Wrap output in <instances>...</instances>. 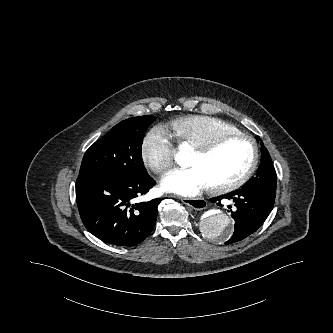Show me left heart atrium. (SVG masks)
Instances as JSON below:
<instances>
[{"mask_svg":"<svg viewBox=\"0 0 333 333\" xmlns=\"http://www.w3.org/2000/svg\"><path fill=\"white\" fill-rule=\"evenodd\" d=\"M161 185L165 191L182 196H195L211 186L207 177L197 167L172 170L163 177Z\"/></svg>","mask_w":333,"mask_h":333,"instance_id":"1","label":"left heart atrium"}]
</instances>
